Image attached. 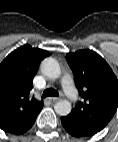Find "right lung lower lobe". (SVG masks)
Instances as JSON below:
<instances>
[{"mask_svg": "<svg viewBox=\"0 0 118 142\" xmlns=\"http://www.w3.org/2000/svg\"><path fill=\"white\" fill-rule=\"evenodd\" d=\"M30 128H31V127H30ZM28 129H29V128H28ZM28 129H27V130H28ZM27 130L23 131L22 133L26 132ZM22 133H20V134H22Z\"/></svg>", "mask_w": 118, "mask_h": 142, "instance_id": "98d812e1", "label": "right lung lower lobe"}]
</instances>
